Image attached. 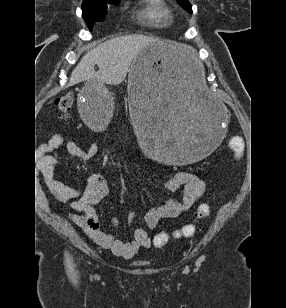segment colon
<instances>
[{"label": "colon", "instance_id": "colon-1", "mask_svg": "<svg viewBox=\"0 0 286 308\" xmlns=\"http://www.w3.org/2000/svg\"><path fill=\"white\" fill-rule=\"evenodd\" d=\"M74 102V95L72 92H68L58 97L55 102V107L59 111L61 116H66ZM228 146L233 152V155L236 159L242 157L245 149V144L243 139L239 135L232 136L228 141ZM210 213V207L208 204H201L197 210V216L199 217H207ZM196 228L194 225L189 224L185 225L181 228V230L177 233L178 237H191L195 234ZM168 234L165 232L158 233L154 236L153 244L157 248L164 247L168 242Z\"/></svg>", "mask_w": 286, "mask_h": 308}]
</instances>
